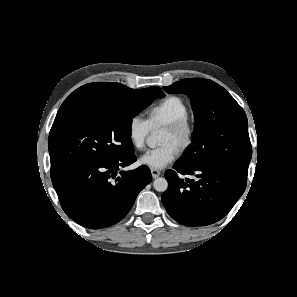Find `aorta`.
I'll list each match as a JSON object with an SVG mask.
<instances>
[{
  "instance_id": "762f6f07",
  "label": "aorta",
  "mask_w": 297,
  "mask_h": 297,
  "mask_svg": "<svg viewBox=\"0 0 297 297\" xmlns=\"http://www.w3.org/2000/svg\"><path fill=\"white\" fill-rule=\"evenodd\" d=\"M157 139H158L157 135L152 134L148 138V142H149L150 145H155L156 142H157ZM153 187L158 192H164V191H166V189L168 187V182H167V180L165 178L159 177V178L154 180Z\"/></svg>"
}]
</instances>
